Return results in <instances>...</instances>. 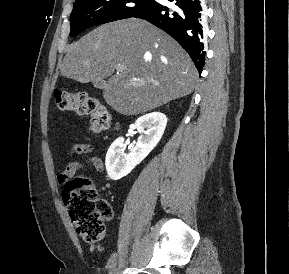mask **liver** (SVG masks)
<instances>
[{
    "instance_id": "1",
    "label": "liver",
    "mask_w": 289,
    "mask_h": 274,
    "mask_svg": "<svg viewBox=\"0 0 289 274\" xmlns=\"http://www.w3.org/2000/svg\"><path fill=\"white\" fill-rule=\"evenodd\" d=\"M60 73L81 83L104 82L106 103L128 116L191 94L198 80L189 55L172 37L135 18L103 24L69 45Z\"/></svg>"
}]
</instances>
